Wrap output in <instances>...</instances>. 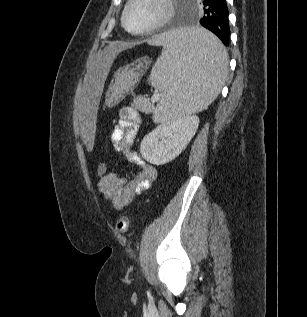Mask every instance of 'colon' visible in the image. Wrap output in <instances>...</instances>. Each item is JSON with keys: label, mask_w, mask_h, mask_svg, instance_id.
<instances>
[{"label": "colon", "mask_w": 307, "mask_h": 317, "mask_svg": "<svg viewBox=\"0 0 307 317\" xmlns=\"http://www.w3.org/2000/svg\"><path fill=\"white\" fill-rule=\"evenodd\" d=\"M107 173V164L105 162H98L96 165V174L99 178ZM129 228V220L127 216H121L117 219L115 229L118 233L124 234Z\"/></svg>", "instance_id": "5ec220e1"}]
</instances>
